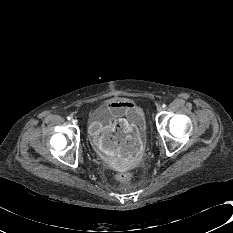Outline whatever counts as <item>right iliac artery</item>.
Masks as SVG:
<instances>
[{
	"label": "right iliac artery",
	"instance_id": "1",
	"mask_svg": "<svg viewBox=\"0 0 233 233\" xmlns=\"http://www.w3.org/2000/svg\"><path fill=\"white\" fill-rule=\"evenodd\" d=\"M67 119H68V120H71V117H70V116H68V117H67Z\"/></svg>",
	"mask_w": 233,
	"mask_h": 233
}]
</instances>
